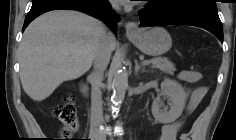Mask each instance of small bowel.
Instances as JSON below:
<instances>
[{
    "label": "small bowel",
    "instance_id": "1",
    "mask_svg": "<svg viewBox=\"0 0 236 140\" xmlns=\"http://www.w3.org/2000/svg\"><path fill=\"white\" fill-rule=\"evenodd\" d=\"M201 73L192 70H184L179 73V78L187 83H196L201 79ZM206 93V87H197L190 95L187 111H192L202 100ZM182 126V120H178L162 127L159 140H176L178 131Z\"/></svg>",
    "mask_w": 236,
    "mask_h": 140
}]
</instances>
